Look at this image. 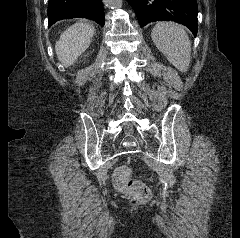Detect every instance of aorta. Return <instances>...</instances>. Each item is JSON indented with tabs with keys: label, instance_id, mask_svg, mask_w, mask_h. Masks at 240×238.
I'll return each instance as SVG.
<instances>
[{
	"label": "aorta",
	"instance_id": "aorta-1",
	"mask_svg": "<svg viewBox=\"0 0 240 238\" xmlns=\"http://www.w3.org/2000/svg\"><path fill=\"white\" fill-rule=\"evenodd\" d=\"M109 7L120 8L122 6V0H105Z\"/></svg>",
	"mask_w": 240,
	"mask_h": 238
}]
</instances>
